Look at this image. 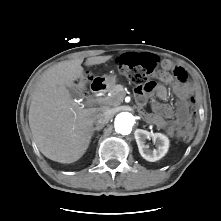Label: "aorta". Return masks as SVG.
I'll use <instances>...</instances> for the list:
<instances>
[{
  "label": "aorta",
  "instance_id": "obj_1",
  "mask_svg": "<svg viewBox=\"0 0 221 221\" xmlns=\"http://www.w3.org/2000/svg\"><path fill=\"white\" fill-rule=\"evenodd\" d=\"M134 123L135 117L131 113L121 112L115 117V131L122 135H127L131 132Z\"/></svg>",
  "mask_w": 221,
  "mask_h": 221
}]
</instances>
